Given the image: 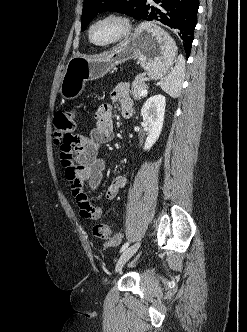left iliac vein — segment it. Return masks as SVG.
Returning a JSON list of instances; mask_svg holds the SVG:
<instances>
[{
	"label": "left iliac vein",
	"instance_id": "4c4485c4",
	"mask_svg": "<svg viewBox=\"0 0 247 332\" xmlns=\"http://www.w3.org/2000/svg\"><path fill=\"white\" fill-rule=\"evenodd\" d=\"M139 247H140V242H136L135 244L131 245L130 247L126 248L123 251L116 264L115 268L116 272H119L122 269L124 264L136 253Z\"/></svg>",
	"mask_w": 247,
	"mask_h": 332
}]
</instances>
